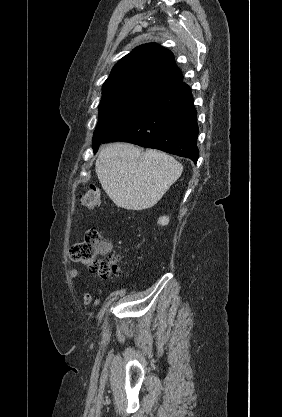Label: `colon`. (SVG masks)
<instances>
[{"instance_id": "obj_1", "label": "colon", "mask_w": 282, "mask_h": 417, "mask_svg": "<svg viewBox=\"0 0 282 417\" xmlns=\"http://www.w3.org/2000/svg\"><path fill=\"white\" fill-rule=\"evenodd\" d=\"M81 202L89 209L99 207L101 204L100 188L91 186L83 194ZM72 259L75 263L87 267L100 276H115L120 271L109 243L96 229L89 230L83 241L73 245Z\"/></svg>"}]
</instances>
